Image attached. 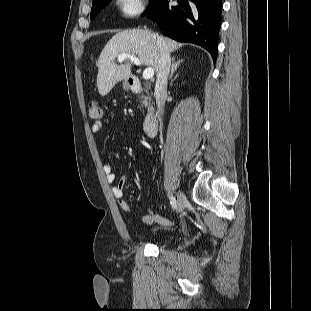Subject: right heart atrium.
Segmentation results:
<instances>
[{
    "label": "right heart atrium",
    "instance_id": "d8ad5b80",
    "mask_svg": "<svg viewBox=\"0 0 311 311\" xmlns=\"http://www.w3.org/2000/svg\"><path fill=\"white\" fill-rule=\"evenodd\" d=\"M146 0H115L119 13L125 18L139 16L145 8Z\"/></svg>",
    "mask_w": 311,
    "mask_h": 311
}]
</instances>
